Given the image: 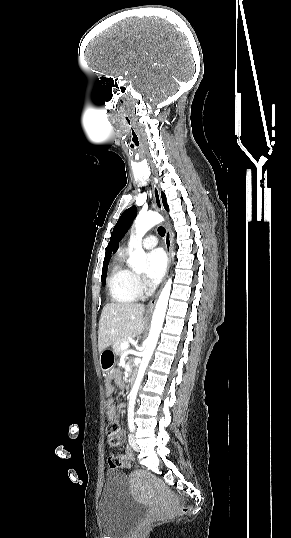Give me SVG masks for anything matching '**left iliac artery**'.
<instances>
[{"label":"left iliac artery","instance_id":"left-iliac-artery-1","mask_svg":"<svg viewBox=\"0 0 291 538\" xmlns=\"http://www.w3.org/2000/svg\"><path fill=\"white\" fill-rule=\"evenodd\" d=\"M128 427L131 432L134 431V414L132 412L128 413Z\"/></svg>","mask_w":291,"mask_h":538}]
</instances>
